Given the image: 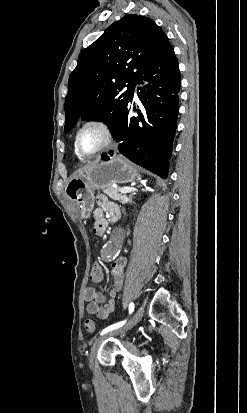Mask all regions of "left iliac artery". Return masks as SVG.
<instances>
[{"label": "left iliac artery", "instance_id": "obj_1", "mask_svg": "<svg viewBox=\"0 0 247 413\" xmlns=\"http://www.w3.org/2000/svg\"><path fill=\"white\" fill-rule=\"evenodd\" d=\"M133 311H134V303L131 302V303L129 304V314H132ZM125 323H126V320L121 321V322H118V323H115V324H113V325H111V326H108L107 328H105V329L101 332V335L106 334V333H108L109 331H112V330H114V329H117V328L123 326Z\"/></svg>", "mask_w": 247, "mask_h": 413}]
</instances>
